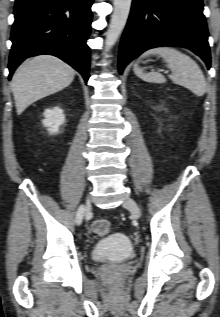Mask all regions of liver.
<instances>
[{
    "label": "liver",
    "instance_id": "6515ba94",
    "mask_svg": "<svg viewBox=\"0 0 220 317\" xmlns=\"http://www.w3.org/2000/svg\"><path fill=\"white\" fill-rule=\"evenodd\" d=\"M74 75L70 65L51 55L26 60L14 73L11 83L17 114L35 101L66 88Z\"/></svg>",
    "mask_w": 220,
    "mask_h": 317
}]
</instances>
